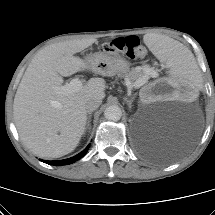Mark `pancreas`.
Instances as JSON below:
<instances>
[{
    "label": "pancreas",
    "mask_w": 215,
    "mask_h": 215,
    "mask_svg": "<svg viewBox=\"0 0 215 215\" xmlns=\"http://www.w3.org/2000/svg\"><path fill=\"white\" fill-rule=\"evenodd\" d=\"M147 70H148V72H146ZM153 71H154V68L144 67L139 70L128 71V73H126L122 77H124L132 86L137 88V84H136L137 80L144 78V77L151 76Z\"/></svg>",
    "instance_id": "cf45deb5"
}]
</instances>
